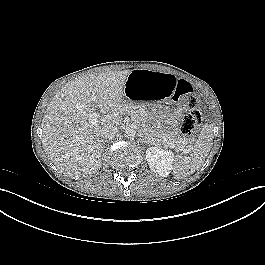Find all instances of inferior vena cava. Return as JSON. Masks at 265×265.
<instances>
[{
    "mask_svg": "<svg viewBox=\"0 0 265 265\" xmlns=\"http://www.w3.org/2000/svg\"><path fill=\"white\" fill-rule=\"evenodd\" d=\"M118 133V128L114 125H108L102 128L101 137L103 139H112Z\"/></svg>",
    "mask_w": 265,
    "mask_h": 265,
    "instance_id": "inferior-vena-cava-1",
    "label": "inferior vena cava"
}]
</instances>
